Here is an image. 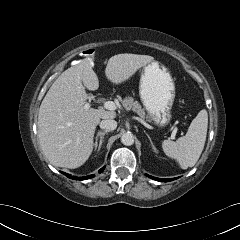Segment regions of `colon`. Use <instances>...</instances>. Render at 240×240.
<instances>
[{
  "label": "colon",
  "mask_w": 240,
  "mask_h": 240,
  "mask_svg": "<svg viewBox=\"0 0 240 240\" xmlns=\"http://www.w3.org/2000/svg\"><path fill=\"white\" fill-rule=\"evenodd\" d=\"M95 54V50L94 49H86V50H84L83 52H82V55L84 56V57H87V58H89V57H92L93 55Z\"/></svg>",
  "instance_id": "obj_1"
}]
</instances>
